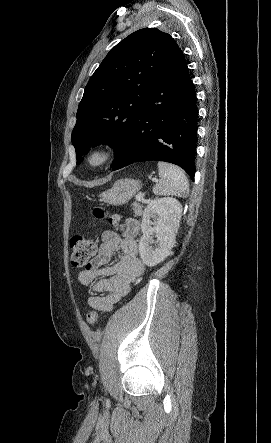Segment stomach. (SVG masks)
Here are the masks:
<instances>
[{
  "label": "stomach",
  "instance_id": "stomach-1",
  "mask_svg": "<svg viewBox=\"0 0 271 443\" xmlns=\"http://www.w3.org/2000/svg\"><path fill=\"white\" fill-rule=\"evenodd\" d=\"M140 188L139 180H117L110 190L100 194L101 202L111 204V206H123L135 196Z\"/></svg>",
  "mask_w": 271,
  "mask_h": 443
}]
</instances>
